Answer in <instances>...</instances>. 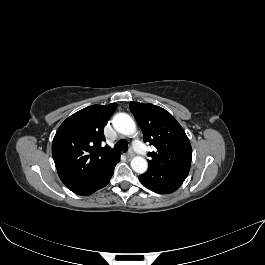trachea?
<instances>
[{"mask_svg":"<svg viewBox=\"0 0 265 265\" xmlns=\"http://www.w3.org/2000/svg\"><path fill=\"white\" fill-rule=\"evenodd\" d=\"M115 150L117 151H128V144L125 140H119L115 145Z\"/></svg>","mask_w":265,"mask_h":265,"instance_id":"trachea-1","label":"trachea"}]
</instances>
